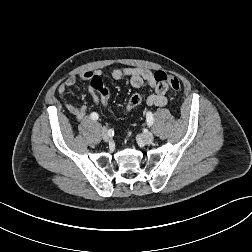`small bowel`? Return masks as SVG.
I'll use <instances>...</instances> for the list:
<instances>
[{"label":"small bowel","mask_w":252,"mask_h":252,"mask_svg":"<svg viewBox=\"0 0 252 252\" xmlns=\"http://www.w3.org/2000/svg\"><path fill=\"white\" fill-rule=\"evenodd\" d=\"M95 75L92 71H85L78 76H71L58 86V93L64 101L66 109L75 117L77 121H82L87 114L85 105L75 106L66 98V91L76 85L78 80L89 81ZM110 75L113 79L119 80L128 77L133 88H140L145 82L153 89V93L148 96L146 103L151 107H161L167 103L168 86L165 83L157 82L154 73L142 67H126L111 70ZM88 92L94 103L99 104V97L92 88L88 86Z\"/></svg>","instance_id":"1"}]
</instances>
